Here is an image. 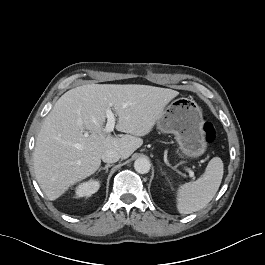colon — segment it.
Segmentation results:
<instances>
[{"instance_id": "1", "label": "colon", "mask_w": 265, "mask_h": 265, "mask_svg": "<svg viewBox=\"0 0 265 265\" xmlns=\"http://www.w3.org/2000/svg\"><path fill=\"white\" fill-rule=\"evenodd\" d=\"M203 134L207 143H212L216 138V131L211 122L206 121L203 125Z\"/></svg>"}]
</instances>
